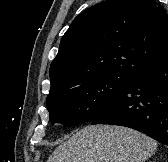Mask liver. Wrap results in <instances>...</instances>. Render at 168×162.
<instances>
[{
    "label": "liver",
    "instance_id": "6515ba94",
    "mask_svg": "<svg viewBox=\"0 0 168 162\" xmlns=\"http://www.w3.org/2000/svg\"><path fill=\"white\" fill-rule=\"evenodd\" d=\"M157 149L147 135L121 126H87L59 145L47 162H145Z\"/></svg>",
    "mask_w": 168,
    "mask_h": 162
}]
</instances>
